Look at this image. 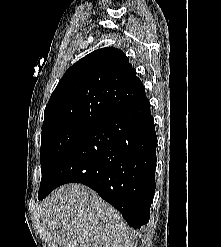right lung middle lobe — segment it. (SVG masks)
<instances>
[{
  "instance_id": "obj_1",
  "label": "right lung middle lobe",
  "mask_w": 221,
  "mask_h": 247,
  "mask_svg": "<svg viewBox=\"0 0 221 247\" xmlns=\"http://www.w3.org/2000/svg\"><path fill=\"white\" fill-rule=\"evenodd\" d=\"M92 127L94 126L72 123L42 130L40 148L42 179L40 189L72 145Z\"/></svg>"
}]
</instances>
